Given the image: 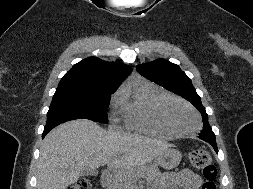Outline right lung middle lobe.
I'll list each match as a JSON object with an SVG mask.
<instances>
[{"label": "right lung middle lobe", "instance_id": "right-lung-middle-lobe-1", "mask_svg": "<svg viewBox=\"0 0 253 189\" xmlns=\"http://www.w3.org/2000/svg\"><path fill=\"white\" fill-rule=\"evenodd\" d=\"M116 89L61 88L57 89L49 111L47 123L53 124L74 119H90L107 123V108Z\"/></svg>", "mask_w": 253, "mask_h": 189}]
</instances>
